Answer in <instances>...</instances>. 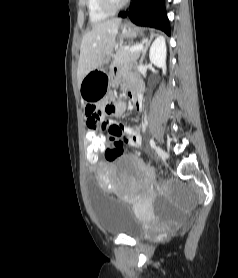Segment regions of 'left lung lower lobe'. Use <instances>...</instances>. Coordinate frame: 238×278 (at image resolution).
Wrapping results in <instances>:
<instances>
[{"mask_svg":"<svg viewBox=\"0 0 238 278\" xmlns=\"http://www.w3.org/2000/svg\"><path fill=\"white\" fill-rule=\"evenodd\" d=\"M164 2L165 0H133L129 10L121 16H128L136 25L158 28L170 35Z\"/></svg>","mask_w":238,"mask_h":278,"instance_id":"obj_1","label":"left lung lower lobe"}]
</instances>
